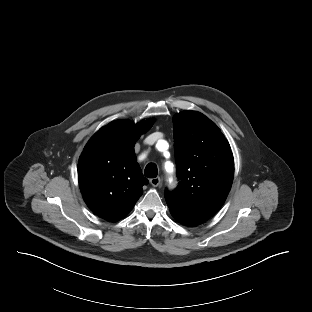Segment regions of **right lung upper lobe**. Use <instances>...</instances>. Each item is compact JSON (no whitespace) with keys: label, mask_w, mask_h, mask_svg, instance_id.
I'll return each mask as SVG.
<instances>
[{"label":"right lung upper lobe","mask_w":312,"mask_h":312,"mask_svg":"<svg viewBox=\"0 0 312 312\" xmlns=\"http://www.w3.org/2000/svg\"><path fill=\"white\" fill-rule=\"evenodd\" d=\"M154 120L138 124L117 120L101 128L78 161L84 201L99 217L114 222L127 215L148 184L136 162L134 144Z\"/></svg>","instance_id":"cb5924a9"}]
</instances>
